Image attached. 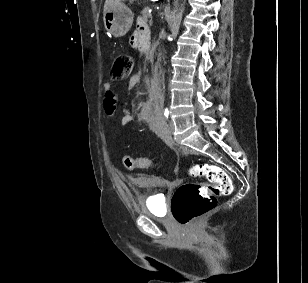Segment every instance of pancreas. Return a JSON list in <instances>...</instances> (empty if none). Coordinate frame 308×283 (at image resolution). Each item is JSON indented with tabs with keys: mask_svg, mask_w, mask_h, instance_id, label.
Returning <instances> with one entry per match:
<instances>
[{
	"mask_svg": "<svg viewBox=\"0 0 308 283\" xmlns=\"http://www.w3.org/2000/svg\"><path fill=\"white\" fill-rule=\"evenodd\" d=\"M141 15L142 17L147 20L148 18L151 17V14L149 13V7H145L142 11H141Z\"/></svg>",
	"mask_w": 308,
	"mask_h": 283,
	"instance_id": "1",
	"label": "pancreas"
}]
</instances>
